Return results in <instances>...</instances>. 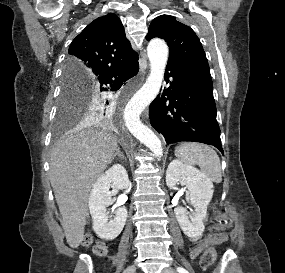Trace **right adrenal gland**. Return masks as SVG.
<instances>
[{"label":"right adrenal gland","instance_id":"right-adrenal-gland-1","mask_svg":"<svg viewBox=\"0 0 285 273\" xmlns=\"http://www.w3.org/2000/svg\"><path fill=\"white\" fill-rule=\"evenodd\" d=\"M116 156H118L121 159H125L124 155L121 153L119 148L116 150V153L113 155V160L116 158Z\"/></svg>","mask_w":285,"mask_h":273}]
</instances>
